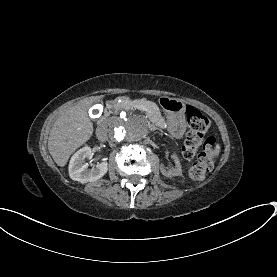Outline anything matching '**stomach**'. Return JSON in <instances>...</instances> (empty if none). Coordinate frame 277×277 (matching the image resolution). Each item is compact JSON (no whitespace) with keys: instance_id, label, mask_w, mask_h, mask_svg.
<instances>
[{"instance_id":"1","label":"stomach","mask_w":277,"mask_h":277,"mask_svg":"<svg viewBox=\"0 0 277 277\" xmlns=\"http://www.w3.org/2000/svg\"><path fill=\"white\" fill-rule=\"evenodd\" d=\"M159 104L166 113L170 129L181 131L185 126L186 106L184 102L177 98L163 96L159 99Z\"/></svg>"}]
</instances>
